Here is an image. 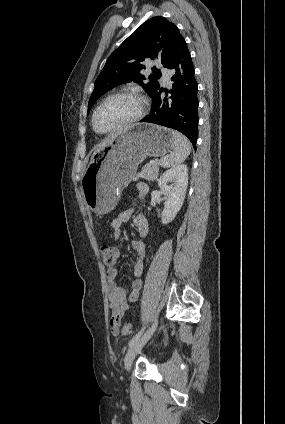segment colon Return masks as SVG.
Instances as JSON below:
<instances>
[{"label":"colon","mask_w":285,"mask_h":424,"mask_svg":"<svg viewBox=\"0 0 285 424\" xmlns=\"http://www.w3.org/2000/svg\"><path fill=\"white\" fill-rule=\"evenodd\" d=\"M100 254L103 258V262L106 265H113L118 259L119 251H118L117 248H115L113 246L101 245L100 246ZM113 321L117 322V317H114ZM120 328L125 333H131L132 332L131 325L128 324V323L121 324Z\"/></svg>","instance_id":"obj_1"}]
</instances>
